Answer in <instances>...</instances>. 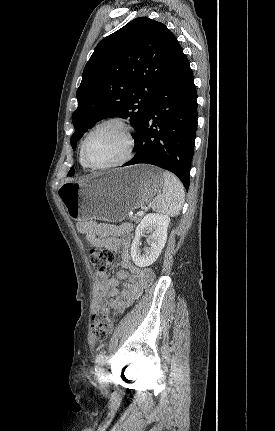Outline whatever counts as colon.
<instances>
[{
  "mask_svg": "<svg viewBox=\"0 0 275 431\" xmlns=\"http://www.w3.org/2000/svg\"><path fill=\"white\" fill-rule=\"evenodd\" d=\"M90 261L98 272H104L114 260L112 251L102 248H93L89 252ZM112 320L103 312H96L91 320L90 330L98 341L107 338L112 330Z\"/></svg>",
  "mask_w": 275,
  "mask_h": 431,
  "instance_id": "1",
  "label": "colon"
}]
</instances>
